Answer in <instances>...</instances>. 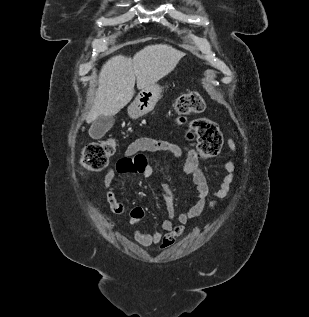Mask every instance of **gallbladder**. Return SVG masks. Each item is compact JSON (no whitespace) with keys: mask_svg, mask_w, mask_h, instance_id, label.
<instances>
[{"mask_svg":"<svg viewBox=\"0 0 309 317\" xmlns=\"http://www.w3.org/2000/svg\"><path fill=\"white\" fill-rule=\"evenodd\" d=\"M113 116H99L94 120L89 129V135L93 139L102 138L113 126L114 124Z\"/></svg>","mask_w":309,"mask_h":317,"instance_id":"gallbladder-1","label":"gallbladder"}]
</instances>
